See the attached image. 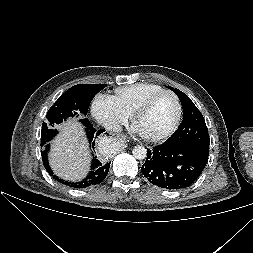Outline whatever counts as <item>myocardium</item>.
Here are the masks:
<instances>
[{
    "instance_id": "1",
    "label": "myocardium",
    "mask_w": 253,
    "mask_h": 253,
    "mask_svg": "<svg viewBox=\"0 0 253 253\" xmlns=\"http://www.w3.org/2000/svg\"><path fill=\"white\" fill-rule=\"evenodd\" d=\"M165 94H169L173 97L175 104H176V117L172 123V125L169 127V129L167 131H165L163 134L159 135V136H155V137H149V136H144L145 139H147L150 142H161L164 141L165 139L169 138L178 128L181 118H182V105L180 102V99L178 97V95L171 91V90H166L163 89L153 95H151L150 97H148L147 99H145L140 105L139 107L135 110V112L133 113L132 117V123L133 125H136L137 120L144 115L149 109L150 107L153 105V103L161 96L165 95Z\"/></svg>"
}]
</instances>
